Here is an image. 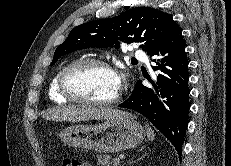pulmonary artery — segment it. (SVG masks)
Masks as SVG:
<instances>
[{
    "label": "pulmonary artery",
    "instance_id": "pulmonary-artery-1",
    "mask_svg": "<svg viewBox=\"0 0 231 166\" xmlns=\"http://www.w3.org/2000/svg\"><path fill=\"white\" fill-rule=\"evenodd\" d=\"M134 56L136 58H138V59H141V60H145L146 59L145 54L142 51L137 50V49L134 50Z\"/></svg>",
    "mask_w": 231,
    "mask_h": 166
}]
</instances>
